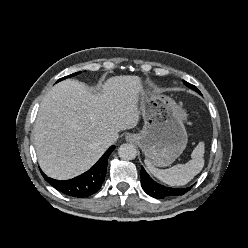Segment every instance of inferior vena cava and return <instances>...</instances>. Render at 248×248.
Listing matches in <instances>:
<instances>
[{
  "mask_svg": "<svg viewBox=\"0 0 248 248\" xmlns=\"http://www.w3.org/2000/svg\"><path fill=\"white\" fill-rule=\"evenodd\" d=\"M118 139L117 136H107L103 139V144L107 145V146H110L112 145L114 142H116V140Z\"/></svg>",
  "mask_w": 248,
  "mask_h": 248,
  "instance_id": "1",
  "label": "inferior vena cava"
}]
</instances>
